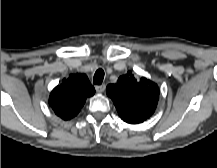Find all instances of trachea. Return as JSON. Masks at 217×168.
<instances>
[{
	"mask_svg": "<svg viewBox=\"0 0 217 168\" xmlns=\"http://www.w3.org/2000/svg\"><path fill=\"white\" fill-rule=\"evenodd\" d=\"M104 79V71L102 69H98L93 77V83L96 85H100Z\"/></svg>",
	"mask_w": 217,
	"mask_h": 168,
	"instance_id": "obj_1",
	"label": "trachea"
}]
</instances>
